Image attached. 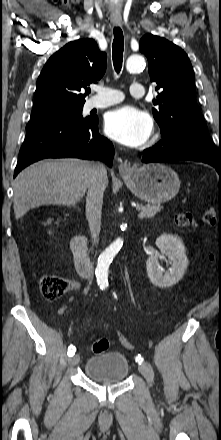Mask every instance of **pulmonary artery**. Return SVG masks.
Returning <instances> with one entry per match:
<instances>
[{"mask_svg": "<svg viewBox=\"0 0 221 440\" xmlns=\"http://www.w3.org/2000/svg\"><path fill=\"white\" fill-rule=\"evenodd\" d=\"M97 95L89 99L85 104L86 110L105 108L124 99L121 91L110 87H100L96 89ZM130 95L135 98H141L145 95V88L140 83H132L129 88Z\"/></svg>", "mask_w": 221, "mask_h": 440, "instance_id": "1", "label": "pulmonary artery"}]
</instances>
